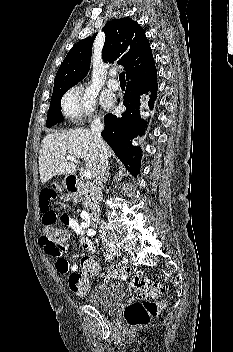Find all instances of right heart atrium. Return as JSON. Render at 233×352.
Returning a JSON list of instances; mask_svg holds the SVG:
<instances>
[{
	"label": "right heart atrium",
	"instance_id": "1",
	"mask_svg": "<svg viewBox=\"0 0 233 352\" xmlns=\"http://www.w3.org/2000/svg\"><path fill=\"white\" fill-rule=\"evenodd\" d=\"M94 93L83 86L71 88L62 98V112L73 121L94 117Z\"/></svg>",
	"mask_w": 233,
	"mask_h": 352
}]
</instances>
